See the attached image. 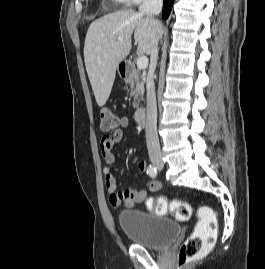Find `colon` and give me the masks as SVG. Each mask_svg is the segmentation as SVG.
<instances>
[{
    "label": "colon",
    "mask_w": 265,
    "mask_h": 269,
    "mask_svg": "<svg viewBox=\"0 0 265 269\" xmlns=\"http://www.w3.org/2000/svg\"><path fill=\"white\" fill-rule=\"evenodd\" d=\"M102 131L114 134L120 130L121 121L117 115L108 108L99 111ZM147 206L156 214L171 212L179 220H187L191 214V206L183 200H169L165 196L151 197ZM200 222L195 226L192 234L183 242L179 250L178 266L182 268L188 262L197 258L202 252L215 242L217 231V218L210 208L200 207Z\"/></svg>",
    "instance_id": "5ec220e1"
}]
</instances>
